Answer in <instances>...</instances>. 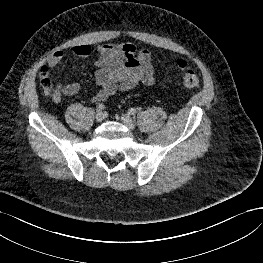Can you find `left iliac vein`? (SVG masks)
<instances>
[{"label":"left iliac vein","instance_id":"1","mask_svg":"<svg viewBox=\"0 0 263 263\" xmlns=\"http://www.w3.org/2000/svg\"><path fill=\"white\" fill-rule=\"evenodd\" d=\"M122 122L129 128V129H134L135 128V122L133 119L130 117L128 114H123L122 117Z\"/></svg>","mask_w":263,"mask_h":263}]
</instances>
